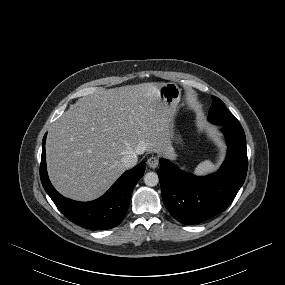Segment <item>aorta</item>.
Here are the masks:
<instances>
[{
	"label": "aorta",
	"instance_id": "obj_1",
	"mask_svg": "<svg viewBox=\"0 0 285 285\" xmlns=\"http://www.w3.org/2000/svg\"><path fill=\"white\" fill-rule=\"evenodd\" d=\"M159 182L158 175L155 172H148L144 175V183L147 186H156Z\"/></svg>",
	"mask_w": 285,
	"mask_h": 285
}]
</instances>
